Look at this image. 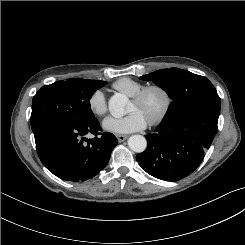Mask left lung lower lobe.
<instances>
[{
  "label": "left lung lower lobe",
  "mask_w": 245,
  "mask_h": 245,
  "mask_svg": "<svg viewBox=\"0 0 245 245\" xmlns=\"http://www.w3.org/2000/svg\"><path fill=\"white\" fill-rule=\"evenodd\" d=\"M219 113L198 109L160 124L154 133L145 136L147 149L137 154L136 160L158 179L171 182L188 176L202 162L213 141Z\"/></svg>",
  "instance_id": "0a47b994"
}]
</instances>
